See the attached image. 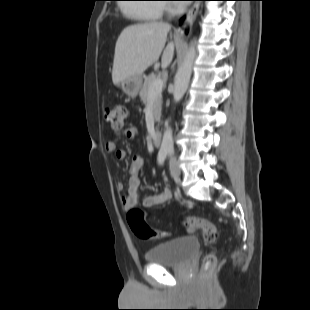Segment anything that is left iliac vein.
Masks as SVG:
<instances>
[{"label": "left iliac vein", "mask_w": 310, "mask_h": 310, "mask_svg": "<svg viewBox=\"0 0 310 310\" xmlns=\"http://www.w3.org/2000/svg\"><path fill=\"white\" fill-rule=\"evenodd\" d=\"M169 168H170V173H171L172 177L175 180H179L180 176H181V169L179 167V164H178L176 158H174V157L170 158Z\"/></svg>", "instance_id": "left-iliac-vein-1"}]
</instances>
